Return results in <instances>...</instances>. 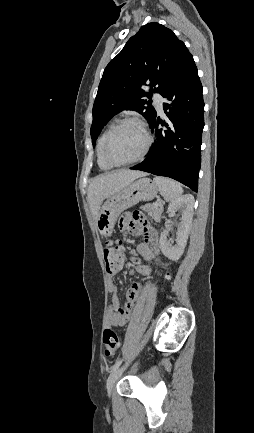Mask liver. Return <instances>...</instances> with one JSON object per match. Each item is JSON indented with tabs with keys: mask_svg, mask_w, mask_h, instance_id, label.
Instances as JSON below:
<instances>
[{
	"mask_svg": "<svg viewBox=\"0 0 254 433\" xmlns=\"http://www.w3.org/2000/svg\"><path fill=\"white\" fill-rule=\"evenodd\" d=\"M141 171L118 170L96 176L88 187L87 200L95 220L105 199L131 184L134 180L144 177Z\"/></svg>",
	"mask_w": 254,
	"mask_h": 433,
	"instance_id": "1",
	"label": "liver"
}]
</instances>
